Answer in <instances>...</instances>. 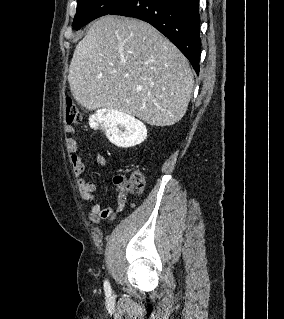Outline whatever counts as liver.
<instances>
[{
    "label": "liver",
    "mask_w": 284,
    "mask_h": 319,
    "mask_svg": "<svg viewBox=\"0 0 284 319\" xmlns=\"http://www.w3.org/2000/svg\"><path fill=\"white\" fill-rule=\"evenodd\" d=\"M68 82L88 110H119L163 127L184 116L194 79L186 57L153 26L107 15L76 45Z\"/></svg>",
    "instance_id": "liver-1"
}]
</instances>
